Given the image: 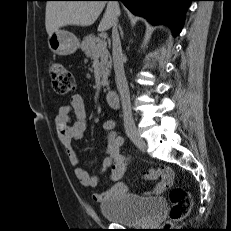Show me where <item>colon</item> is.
Returning a JSON list of instances; mask_svg holds the SVG:
<instances>
[{
    "mask_svg": "<svg viewBox=\"0 0 231 231\" xmlns=\"http://www.w3.org/2000/svg\"><path fill=\"white\" fill-rule=\"evenodd\" d=\"M50 79L55 92L59 95H67L75 89V80L72 73L61 63L53 62L49 69ZM147 179L160 177L159 170L149 171L144 175ZM171 201L170 219L178 221L185 218L192 205L190 195L181 187H174L169 194Z\"/></svg>",
    "mask_w": 231,
    "mask_h": 231,
    "instance_id": "5ec220e1",
    "label": "colon"
}]
</instances>
